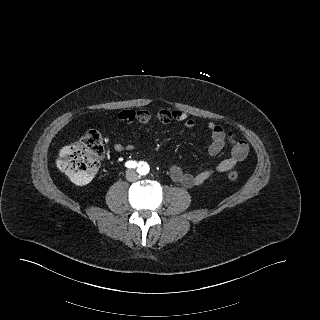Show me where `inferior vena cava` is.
Here are the masks:
<instances>
[{
  "instance_id": "602c4592",
  "label": "inferior vena cava",
  "mask_w": 320,
  "mask_h": 320,
  "mask_svg": "<svg viewBox=\"0 0 320 320\" xmlns=\"http://www.w3.org/2000/svg\"><path fill=\"white\" fill-rule=\"evenodd\" d=\"M126 179L130 182H134L138 179V175L134 170H128L126 172Z\"/></svg>"
}]
</instances>
